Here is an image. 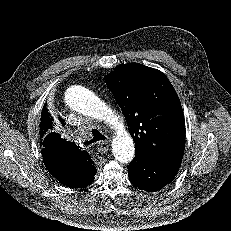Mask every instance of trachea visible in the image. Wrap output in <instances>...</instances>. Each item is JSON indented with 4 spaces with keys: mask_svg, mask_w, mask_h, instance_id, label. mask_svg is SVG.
<instances>
[{
    "mask_svg": "<svg viewBox=\"0 0 231 231\" xmlns=\"http://www.w3.org/2000/svg\"><path fill=\"white\" fill-rule=\"evenodd\" d=\"M92 139L85 141V144H92L100 140H105L106 137L97 129H92Z\"/></svg>",
    "mask_w": 231,
    "mask_h": 231,
    "instance_id": "obj_1",
    "label": "trachea"
}]
</instances>
